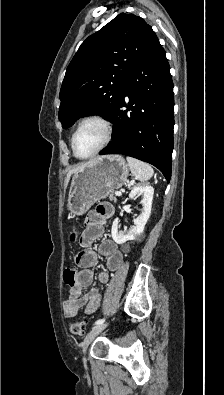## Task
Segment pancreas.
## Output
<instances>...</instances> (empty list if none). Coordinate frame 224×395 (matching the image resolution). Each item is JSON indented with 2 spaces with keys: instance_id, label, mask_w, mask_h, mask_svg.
Segmentation results:
<instances>
[{
  "instance_id": "obj_1",
  "label": "pancreas",
  "mask_w": 224,
  "mask_h": 395,
  "mask_svg": "<svg viewBox=\"0 0 224 395\" xmlns=\"http://www.w3.org/2000/svg\"><path fill=\"white\" fill-rule=\"evenodd\" d=\"M108 196H109L110 201H116L117 200L116 196L114 195L113 192H111Z\"/></svg>"
}]
</instances>
